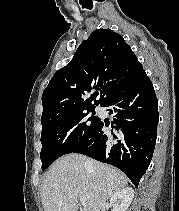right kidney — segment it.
<instances>
[{"mask_svg":"<svg viewBox=\"0 0 179 211\" xmlns=\"http://www.w3.org/2000/svg\"><path fill=\"white\" fill-rule=\"evenodd\" d=\"M134 197V190L125 187L114 193L110 198L112 211H127Z\"/></svg>","mask_w":179,"mask_h":211,"instance_id":"obj_1","label":"right kidney"}]
</instances>
